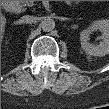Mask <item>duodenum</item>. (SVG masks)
I'll list each match as a JSON object with an SVG mask.
<instances>
[{"mask_svg": "<svg viewBox=\"0 0 109 109\" xmlns=\"http://www.w3.org/2000/svg\"><path fill=\"white\" fill-rule=\"evenodd\" d=\"M3 7H4L6 10H9V9H11L12 5H11L10 3H5V4L3 5Z\"/></svg>", "mask_w": 109, "mask_h": 109, "instance_id": "1", "label": "duodenum"}]
</instances>
